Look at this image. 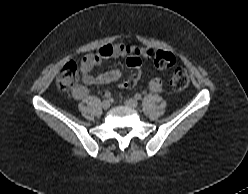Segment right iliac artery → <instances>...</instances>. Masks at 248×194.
Segmentation results:
<instances>
[{"label":"right iliac artery","mask_w":248,"mask_h":194,"mask_svg":"<svg viewBox=\"0 0 248 194\" xmlns=\"http://www.w3.org/2000/svg\"><path fill=\"white\" fill-rule=\"evenodd\" d=\"M105 97H106V98H110V97H111V93H110V92H106V93H105Z\"/></svg>","instance_id":"obj_1"}]
</instances>
